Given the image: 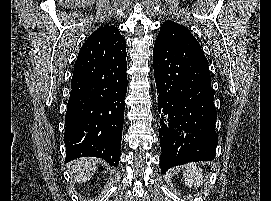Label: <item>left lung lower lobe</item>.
<instances>
[{
  "instance_id": "left-lung-lower-lobe-1",
  "label": "left lung lower lobe",
  "mask_w": 271,
  "mask_h": 201,
  "mask_svg": "<svg viewBox=\"0 0 271 201\" xmlns=\"http://www.w3.org/2000/svg\"><path fill=\"white\" fill-rule=\"evenodd\" d=\"M153 64L162 172L191 161L213 160L217 113L208 62L198 41L181 28L172 38L155 42Z\"/></svg>"
}]
</instances>
